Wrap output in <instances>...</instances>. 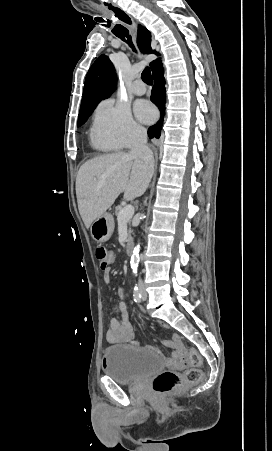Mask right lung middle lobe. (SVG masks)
<instances>
[{"label":"right lung middle lobe","instance_id":"dd1d6c3e","mask_svg":"<svg viewBox=\"0 0 272 451\" xmlns=\"http://www.w3.org/2000/svg\"><path fill=\"white\" fill-rule=\"evenodd\" d=\"M94 108L91 109H82L80 110L79 113V117H78V124L77 126H81L82 124H84L86 122V120L88 119V117L91 115V113L93 112Z\"/></svg>","mask_w":272,"mask_h":451}]
</instances>
